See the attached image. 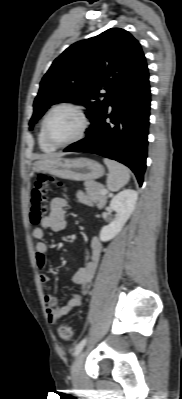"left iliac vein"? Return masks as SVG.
Returning <instances> with one entry per match:
<instances>
[{
  "mask_svg": "<svg viewBox=\"0 0 182 399\" xmlns=\"http://www.w3.org/2000/svg\"><path fill=\"white\" fill-rule=\"evenodd\" d=\"M84 360H85V352H81L76 357V359L71 367V377L74 382H78L81 379V373H82Z\"/></svg>",
  "mask_w": 182,
  "mask_h": 399,
  "instance_id": "4c4485c4",
  "label": "left iliac vein"
}]
</instances>
